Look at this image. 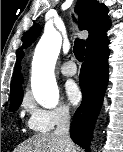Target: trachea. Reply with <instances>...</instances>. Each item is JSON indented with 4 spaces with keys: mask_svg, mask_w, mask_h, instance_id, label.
<instances>
[{
    "mask_svg": "<svg viewBox=\"0 0 123 152\" xmlns=\"http://www.w3.org/2000/svg\"><path fill=\"white\" fill-rule=\"evenodd\" d=\"M84 50H85V42L80 39H76L73 47V52L77 60L79 61L84 60Z\"/></svg>",
    "mask_w": 123,
    "mask_h": 152,
    "instance_id": "3493384b",
    "label": "trachea"
}]
</instances>
